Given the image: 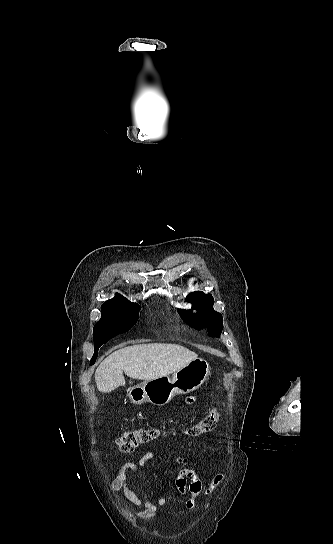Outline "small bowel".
Instances as JSON below:
<instances>
[{
	"mask_svg": "<svg viewBox=\"0 0 333 544\" xmlns=\"http://www.w3.org/2000/svg\"><path fill=\"white\" fill-rule=\"evenodd\" d=\"M189 402H192V399H189ZM153 459L154 454L147 452L143 454L137 462L128 461L124 463L111 484L112 491H122L129 502L141 508L136 516L143 520H152L156 516L158 508L164 506L167 503V500L158 495L156 496L155 501H151L145 491L139 490L137 492L132 490L128 485L129 472L137 473L139 469L147 466ZM177 464L181 466V468L176 476L175 486L181 495H185L186 493L191 495L186 504L189 509L195 506L196 499L200 495L209 496L224 480L222 474L217 475L210 486L204 490L201 478L194 467L187 465L184 459L177 460Z\"/></svg>",
	"mask_w": 333,
	"mask_h": 544,
	"instance_id": "c3829d8e",
	"label": "small bowel"
}]
</instances>
